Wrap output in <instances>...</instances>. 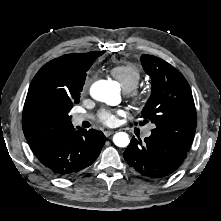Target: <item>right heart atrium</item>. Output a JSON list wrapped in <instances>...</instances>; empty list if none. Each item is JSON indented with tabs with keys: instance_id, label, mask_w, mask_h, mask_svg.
<instances>
[{
	"instance_id": "1",
	"label": "right heart atrium",
	"mask_w": 221,
	"mask_h": 221,
	"mask_svg": "<svg viewBox=\"0 0 221 221\" xmlns=\"http://www.w3.org/2000/svg\"><path fill=\"white\" fill-rule=\"evenodd\" d=\"M90 81H91V78L88 76L84 82V85H83V90L86 91L89 87V84H90Z\"/></svg>"
}]
</instances>
